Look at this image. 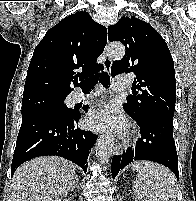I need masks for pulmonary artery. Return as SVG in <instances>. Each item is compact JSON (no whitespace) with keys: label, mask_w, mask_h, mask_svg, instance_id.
<instances>
[{"label":"pulmonary artery","mask_w":196,"mask_h":201,"mask_svg":"<svg viewBox=\"0 0 196 201\" xmlns=\"http://www.w3.org/2000/svg\"><path fill=\"white\" fill-rule=\"evenodd\" d=\"M128 79L126 77H119L113 80L112 87L115 90H122L128 87ZM91 97V95H83L82 93H75L72 96L73 103L80 102L82 100H86L87 98Z\"/></svg>","instance_id":"1"}]
</instances>
